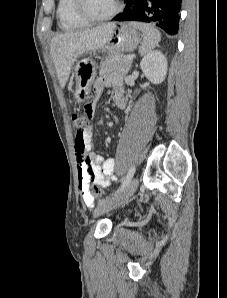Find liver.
Returning <instances> with one entry per match:
<instances>
[{"label": "liver", "instance_id": "6515ba94", "mask_svg": "<svg viewBox=\"0 0 227 298\" xmlns=\"http://www.w3.org/2000/svg\"><path fill=\"white\" fill-rule=\"evenodd\" d=\"M114 28L115 23H108L93 29L62 33L52 38L51 55L62 88L65 87L77 58L105 44Z\"/></svg>", "mask_w": 227, "mask_h": 298}]
</instances>
